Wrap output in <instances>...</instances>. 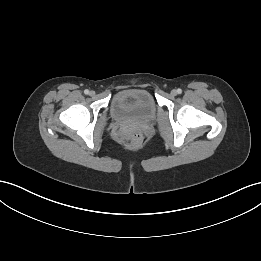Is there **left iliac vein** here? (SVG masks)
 Segmentation results:
<instances>
[{"label":"left iliac vein","mask_w":261,"mask_h":261,"mask_svg":"<svg viewBox=\"0 0 261 261\" xmlns=\"http://www.w3.org/2000/svg\"><path fill=\"white\" fill-rule=\"evenodd\" d=\"M176 94H177V91H176V90H172V91H171V95H172V96H175Z\"/></svg>","instance_id":"1"}]
</instances>
